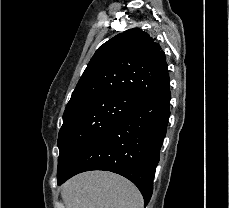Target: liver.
Here are the masks:
<instances>
[{
	"mask_svg": "<svg viewBox=\"0 0 229 208\" xmlns=\"http://www.w3.org/2000/svg\"><path fill=\"white\" fill-rule=\"evenodd\" d=\"M67 208H144L136 186L112 172H84L61 188Z\"/></svg>",
	"mask_w": 229,
	"mask_h": 208,
	"instance_id": "obj_1",
	"label": "liver"
}]
</instances>
